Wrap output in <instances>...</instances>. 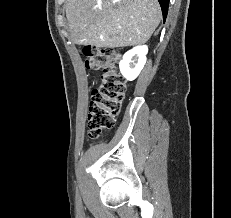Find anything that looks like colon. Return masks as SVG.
<instances>
[{
	"label": "colon",
	"mask_w": 231,
	"mask_h": 218,
	"mask_svg": "<svg viewBox=\"0 0 231 218\" xmlns=\"http://www.w3.org/2000/svg\"><path fill=\"white\" fill-rule=\"evenodd\" d=\"M85 66L100 70V83L92 90L88 110V135L98 138L102 132L113 127L125 96L126 82L118 71L120 54L112 48H83Z\"/></svg>",
	"instance_id": "colon-1"
}]
</instances>
